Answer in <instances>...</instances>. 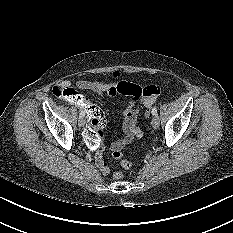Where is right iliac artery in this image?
Wrapping results in <instances>:
<instances>
[{"label": "right iliac artery", "mask_w": 233, "mask_h": 233, "mask_svg": "<svg viewBox=\"0 0 233 233\" xmlns=\"http://www.w3.org/2000/svg\"><path fill=\"white\" fill-rule=\"evenodd\" d=\"M85 116V113L83 110H80V117H84Z\"/></svg>", "instance_id": "82829eb1"}]
</instances>
